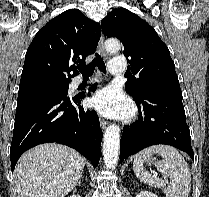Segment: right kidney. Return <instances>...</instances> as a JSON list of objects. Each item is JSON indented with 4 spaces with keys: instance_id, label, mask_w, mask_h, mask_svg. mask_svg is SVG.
<instances>
[{
    "instance_id": "obj_1",
    "label": "right kidney",
    "mask_w": 209,
    "mask_h": 197,
    "mask_svg": "<svg viewBox=\"0 0 209 197\" xmlns=\"http://www.w3.org/2000/svg\"><path fill=\"white\" fill-rule=\"evenodd\" d=\"M69 197H81L80 195H70Z\"/></svg>"
}]
</instances>
